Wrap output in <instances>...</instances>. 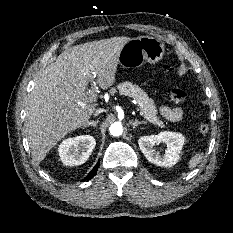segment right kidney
Here are the masks:
<instances>
[{"label": "right kidney", "instance_id": "right-kidney-1", "mask_svg": "<svg viewBox=\"0 0 233 233\" xmlns=\"http://www.w3.org/2000/svg\"><path fill=\"white\" fill-rule=\"evenodd\" d=\"M95 145V138L90 135L65 139L58 148L60 159L64 165H81L88 160Z\"/></svg>", "mask_w": 233, "mask_h": 233}]
</instances>
